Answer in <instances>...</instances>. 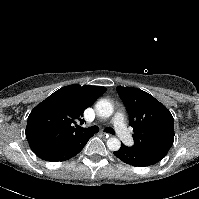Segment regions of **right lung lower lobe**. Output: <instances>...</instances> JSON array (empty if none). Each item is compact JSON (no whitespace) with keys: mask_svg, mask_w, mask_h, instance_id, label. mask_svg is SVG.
Listing matches in <instances>:
<instances>
[{"mask_svg":"<svg viewBox=\"0 0 199 199\" xmlns=\"http://www.w3.org/2000/svg\"><path fill=\"white\" fill-rule=\"evenodd\" d=\"M93 134H84L83 136L68 142L66 144L52 147L33 150V152L43 160L58 162L70 159L77 155Z\"/></svg>","mask_w":199,"mask_h":199,"instance_id":"1","label":"right lung lower lobe"}]
</instances>
